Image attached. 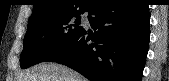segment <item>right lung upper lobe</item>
<instances>
[{"label":"right lung upper lobe","mask_w":169,"mask_h":81,"mask_svg":"<svg viewBox=\"0 0 169 81\" xmlns=\"http://www.w3.org/2000/svg\"><path fill=\"white\" fill-rule=\"evenodd\" d=\"M94 5V0H34L28 24L46 18L80 15L90 12Z\"/></svg>","instance_id":"1"}]
</instances>
